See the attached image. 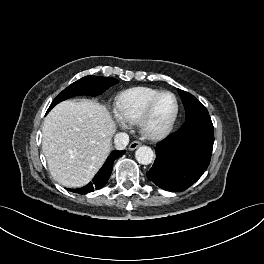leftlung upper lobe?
<instances>
[{
	"mask_svg": "<svg viewBox=\"0 0 264 264\" xmlns=\"http://www.w3.org/2000/svg\"><path fill=\"white\" fill-rule=\"evenodd\" d=\"M178 93L182 99L185 108L186 121L183 124V126L188 125L197 120L210 118L209 113L205 108V106L192 94L180 89H178Z\"/></svg>",
	"mask_w": 264,
	"mask_h": 264,
	"instance_id": "5c2ea615",
	"label": "left lung upper lobe"
}]
</instances>
